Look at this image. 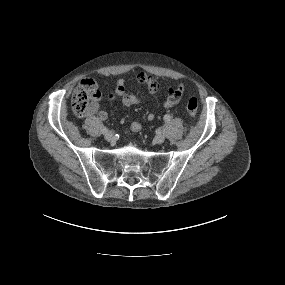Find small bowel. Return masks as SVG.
<instances>
[{"instance_id": "small-bowel-1", "label": "small bowel", "mask_w": 285, "mask_h": 285, "mask_svg": "<svg viewBox=\"0 0 285 285\" xmlns=\"http://www.w3.org/2000/svg\"><path fill=\"white\" fill-rule=\"evenodd\" d=\"M137 80L141 85L145 86L151 94L158 92L159 84L151 75L141 73L139 74ZM184 91L185 86L183 83H180L175 87H168L166 90L167 97L163 103V107L165 109H169L178 106ZM104 98L107 100H115L119 98L122 104L125 106H131L143 102L142 98L127 90L126 81L124 79H119L116 82L115 88L112 92L107 95L99 92L89 106L88 113L90 115H94L99 121H105L108 118V114L105 111L100 110V101ZM155 117L156 114L154 112H149L147 114V119L149 121L154 120ZM130 128L132 131L137 132L141 130L142 125L139 122H133Z\"/></svg>"}]
</instances>
